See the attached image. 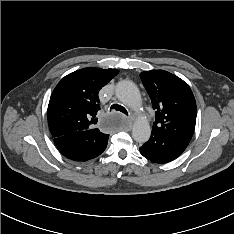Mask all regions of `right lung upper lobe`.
Returning <instances> with one entry per match:
<instances>
[{
	"label": "right lung upper lobe",
	"mask_w": 234,
	"mask_h": 234,
	"mask_svg": "<svg viewBox=\"0 0 234 234\" xmlns=\"http://www.w3.org/2000/svg\"><path fill=\"white\" fill-rule=\"evenodd\" d=\"M119 73L116 69L83 68L65 76L48 105V124L54 138L97 129L99 90Z\"/></svg>",
	"instance_id": "right-lung-upper-lobe-1"
}]
</instances>
